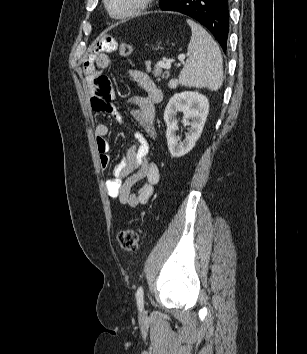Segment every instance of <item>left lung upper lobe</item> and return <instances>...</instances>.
I'll use <instances>...</instances> for the list:
<instances>
[{
    "instance_id": "left-lung-upper-lobe-1",
    "label": "left lung upper lobe",
    "mask_w": 307,
    "mask_h": 354,
    "mask_svg": "<svg viewBox=\"0 0 307 354\" xmlns=\"http://www.w3.org/2000/svg\"><path fill=\"white\" fill-rule=\"evenodd\" d=\"M170 0H160V7L163 8Z\"/></svg>"
}]
</instances>
